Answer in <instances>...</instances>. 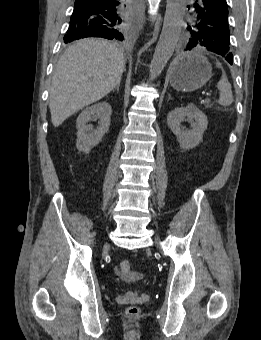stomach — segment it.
<instances>
[{
    "instance_id": "obj_1",
    "label": "stomach",
    "mask_w": 261,
    "mask_h": 340,
    "mask_svg": "<svg viewBox=\"0 0 261 340\" xmlns=\"http://www.w3.org/2000/svg\"><path fill=\"white\" fill-rule=\"evenodd\" d=\"M212 76L208 60L189 52L177 57L169 71L171 86L180 92H191L203 87Z\"/></svg>"
}]
</instances>
